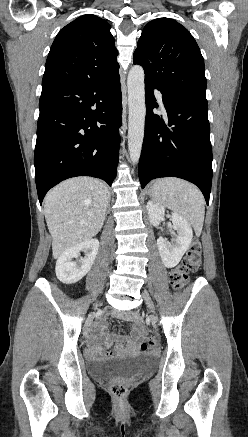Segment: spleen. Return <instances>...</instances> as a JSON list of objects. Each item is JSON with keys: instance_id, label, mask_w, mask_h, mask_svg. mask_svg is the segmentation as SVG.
<instances>
[{"instance_id": "3e777b00", "label": "spleen", "mask_w": 248, "mask_h": 437, "mask_svg": "<svg viewBox=\"0 0 248 437\" xmlns=\"http://www.w3.org/2000/svg\"><path fill=\"white\" fill-rule=\"evenodd\" d=\"M152 198L164 207L173 210L185 219L200 234L205 215V200L193 184L179 178L158 179Z\"/></svg>"}]
</instances>
